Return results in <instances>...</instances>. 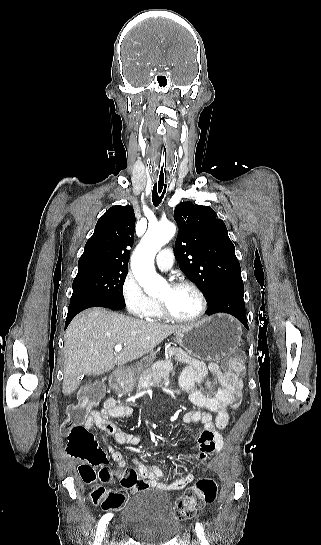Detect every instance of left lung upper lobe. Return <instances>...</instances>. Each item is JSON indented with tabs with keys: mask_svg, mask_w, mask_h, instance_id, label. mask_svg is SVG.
Returning a JSON list of instances; mask_svg holds the SVG:
<instances>
[{
	"mask_svg": "<svg viewBox=\"0 0 321 545\" xmlns=\"http://www.w3.org/2000/svg\"><path fill=\"white\" fill-rule=\"evenodd\" d=\"M174 219L179 226L175 254L180 269L207 299L221 285L242 279L234 244L211 207L183 202L176 206Z\"/></svg>",
	"mask_w": 321,
	"mask_h": 545,
	"instance_id": "5c2ea615",
	"label": "left lung upper lobe"
}]
</instances>
